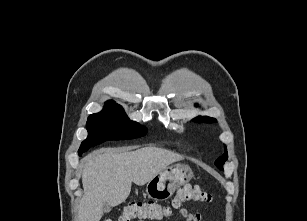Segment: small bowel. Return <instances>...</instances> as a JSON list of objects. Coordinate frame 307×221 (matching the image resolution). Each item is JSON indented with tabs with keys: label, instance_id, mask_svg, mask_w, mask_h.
Here are the masks:
<instances>
[{
	"label": "small bowel",
	"instance_id": "1",
	"mask_svg": "<svg viewBox=\"0 0 307 221\" xmlns=\"http://www.w3.org/2000/svg\"><path fill=\"white\" fill-rule=\"evenodd\" d=\"M179 215L184 221H201L199 213L192 214L186 208L179 209Z\"/></svg>",
	"mask_w": 307,
	"mask_h": 221
}]
</instances>
